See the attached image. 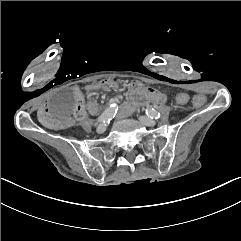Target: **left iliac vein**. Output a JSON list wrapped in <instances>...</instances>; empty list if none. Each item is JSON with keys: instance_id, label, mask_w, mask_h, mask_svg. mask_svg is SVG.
<instances>
[{"instance_id": "4c4485c4", "label": "left iliac vein", "mask_w": 241, "mask_h": 241, "mask_svg": "<svg viewBox=\"0 0 241 241\" xmlns=\"http://www.w3.org/2000/svg\"><path fill=\"white\" fill-rule=\"evenodd\" d=\"M139 120L141 121V123H143L145 126H149V127H152V126H155L156 125V121L154 119H151L149 117H146V116H141L139 118Z\"/></svg>"}]
</instances>
